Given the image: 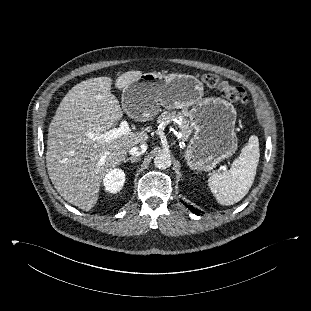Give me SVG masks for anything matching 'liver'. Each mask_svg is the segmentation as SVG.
Masks as SVG:
<instances>
[{
  "instance_id": "6515ba94",
  "label": "liver",
  "mask_w": 311,
  "mask_h": 311,
  "mask_svg": "<svg viewBox=\"0 0 311 311\" xmlns=\"http://www.w3.org/2000/svg\"><path fill=\"white\" fill-rule=\"evenodd\" d=\"M142 75L138 70L125 72L115 87L124 90ZM111 84L105 76L75 85L60 102L48 129L46 167L52 184L67 202L85 211L97 203L106 173L124 161L131 147L149 138L142 130L110 141L95 139L123 116Z\"/></svg>"
}]
</instances>
